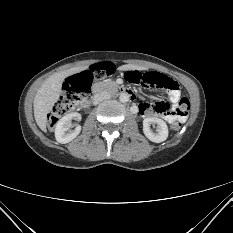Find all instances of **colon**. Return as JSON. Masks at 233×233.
I'll list each match as a JSON object with an SVG mask.
<instances>
[{
	"label": "colon",
	"instance_id": "colon-1",
	"mask_svg": "<svg viewBox=\"0 0 233 233\" xmlns=\"http://www.w3.org/2000/svg\"><path fill=\"white\" fill-rule=\"evenodd\" d=\"M114 67L111 63L96 64L90 69L69 77L64 85V93L54 105L49 117L48 126L53 128L58 120L73 109L77 104L85 103L91 94V85L95 79H102L106 75L112 74ZM125 78L128 82L139 84L146 88L171 89L175 83L156 72L141 73L139 71L126 72ZM160 107V103L156 104ZM190 109V102L187 98H182L177 106V111L181 115H187ZM181 128L180 121L170 124V129L177 131Z\"/></svg>",
	"mask_w": 233,
	"mask_h": 233
}]
</instances>
